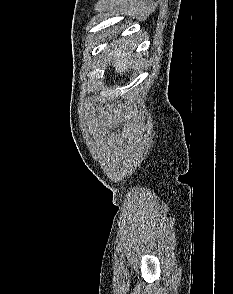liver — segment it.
I'll use <instances>...</instances> for the list:
<instances>
[{"label": "liver", "instance_id": "6515ba94", "mask_svg": "<svg viewBox=\"0 0 233 294\" xmlns=\"http://www.w3.org/2000/svg\"><path fill=\"white\" fill-rule=\"evenodd\" d=\"M110 54L113 55L112 65L117 73H125L127 71V65H132V57L128 56L126 47L123 46H113Z\"/></svg>", "mask_w": 233, "mask_h": 294}]
</instances>
